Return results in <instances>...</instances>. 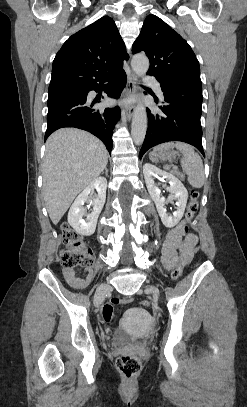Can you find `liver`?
Masks as SVG:
<instances>
[{"label": "liver", "instance_id": "1", "mask_svg": "<svg viewBox=\"0 0 247 407\" xmlns=\"http://www.w3.org/2000/svg\"><path fill=\"white\" fill-rule=\"evenodd\" d=\"M108 152L92 134L75 128L54 132L46 141L43 196L53 224L66 213L75 197L106 168Z\"/></svg>", "mask_w": 247, "mask_h": 407}]
</instances>
